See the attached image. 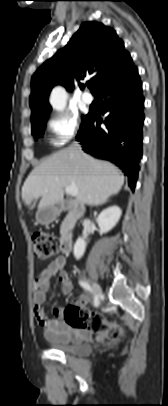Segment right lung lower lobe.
<instances>
[{
  "label": "right lung lower lobe",
  "mask_w": 168,
  "mask_h": 406,
  "mask_svg": "<svg viewBox=\"0 0 168 406\" xmlns=\"http://www.w3.org/2000/svg\"><path fill=\"white\" fill-rule=\"evenodd\" d=\"M102 109L90 110L77 135L83 150L121 167L132 190L142 157V83L135 66L98 90ZM101 115H106L102 121ZM104 126H101V124Z\"/></svg>",
  "instance_id": "obj_1"
}]
</instances>
